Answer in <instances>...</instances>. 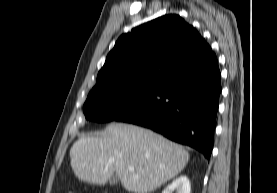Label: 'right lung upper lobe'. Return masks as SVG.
Instances as JSON below:
<instances>
[{
	"label": "right lung upper lobe",
	"instance_id": "right-lung-upper-lobe-1",
	"mask_svg": "<svg viewBox=\"0 0 277 193\" xmlns=\"http://www.w3.org/2000/svg\"><path fill=\"white\" fill-rule=\"evenodd\" d=\"M212 54L193 26L179 15H165L119 37L91 92L126 86L158 88Z\"/></svg>",
	"mask_w": 277,
	"mask_h": 193
}]
</instances>
